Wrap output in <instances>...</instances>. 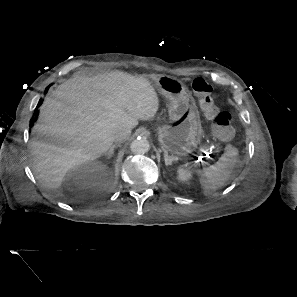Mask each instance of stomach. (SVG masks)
I'll list each match as a JSON object with an SVG mask.
<instances>
[{
  "instance_id": "0dacf381",
  "label": "stomach",
  "mask_w": 297,
  "mask_h": 297,
  "mask_svg": "<svg viewBox=\"0 0 297 297\" xmlns=\"http://www.w3.org/2000/svg\"><path fill=\"white\" fill-rule=\"evenodd\" d=\"M158 91L169 101L170 125L158 129V141L162 149L185 157L198 148L202 138V125L196 104L181 80L170 76L154 79Z\"/></svg>"
}]
</instances>
